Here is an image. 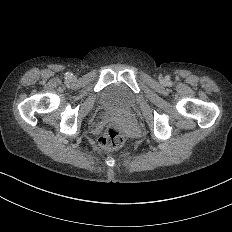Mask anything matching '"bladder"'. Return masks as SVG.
<instances>
[{
  "label": "bladder",
  "instance_id": "31cf9c89",
  "mask_svg": "<svg viewBox=\"0 0 232 232\" xmlns=\"http://www.w3.org/2000/svg\"><path fill=\"white\" fill-rule=\"evenodd\" d=\"M136 100L133 93L121 84H112L106 87L100 97V106L120 111L131 110Z\"/></svg>",
  "mask_w": 232,
  "mask_h": 232
}]
</instances>
